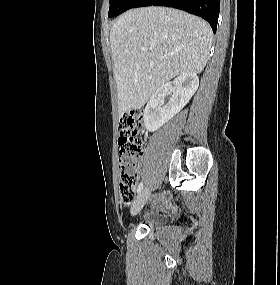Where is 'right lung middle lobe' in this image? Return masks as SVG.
<instances>
[{
  "mask_svg": "<svg viewBox=\"0 0 280 285\" xmlns=\"http://www.w3.org/2000/svg\"><path fill=\"white\" fill-rule=\"evenodd\" d=\"M109 2L108 17H114L132 8L137 0H109Z\"/></svg>",
  "mask_w": 280,
  "mask_h": 285,
  "instance_id": "1",
  "label": "right lung middle lobe"
}]
</instances>
